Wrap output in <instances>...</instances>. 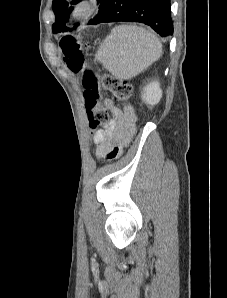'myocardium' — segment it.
I'll use <instances>...</instances> for the list:
<instances>
[{
    "instance_id": "1",
    "label": "myocardium",
    "mask_w": 227,
    "mask_h": 298,
    "mask_svg": "<svg viewBox=\"0 0 227 298\" xmlns=\"http://www.w3.org/2000/svg\"><path fill=\"white\" fill-rule=\"evenodd\" d=\"M95 10L92 0H77L73 3L70 15L74 20L89 18Z\"/></svg>"
}]
</instances>
